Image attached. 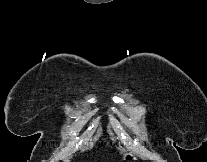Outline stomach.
Returning <instances> with one entry per match:
<instances>
[{
  "label": "stomach",
  "instance_id": "stomach-1",
  "mask_svg": "<svg viewBox=\"0 0 207 162\" xmlns=\"http://www.w3.org/2000/svg\"><path fill=\"white\" fill-rule=\"evenodd\" d=\"M134 159H135V157L130 153H126L123 156V160H134Z\"/></svg>",
  "mask_w": 207,
  "mask_h": 162
}]
</instances>
